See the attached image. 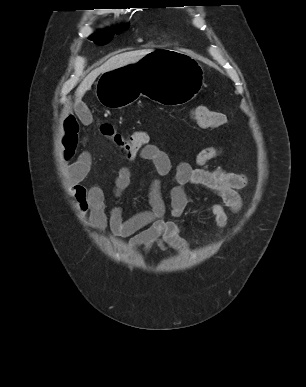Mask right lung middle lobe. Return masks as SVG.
Returning a JSON list of instances; mask_svg holds the SVG:
<instances>
[{
  "label": "right lung middle lobe",
  "instance_id": "obj_1",
  "mask_svg": "<svg viewBox=\"0 0 306 387\" xmlns=\"http://www.w3.org/2000/svg\"><path fill=\"white\" fill-rule=\"evenodd\" d=\"M125 29L126 28H116V29H108L105 31H101L99 34H94L90 36V40L94 41L98 45H104L113 38V35L115 33L120 34Z\"/></svg>",
  "mask_w": 306,
  "mask_h": 387
}]
</instances>
